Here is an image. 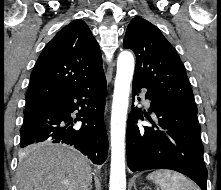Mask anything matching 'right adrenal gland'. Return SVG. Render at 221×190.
I'll return each mask as SVG.
<instances>
[{"instance_id":"2a0ac1e0","label":"right adrenal gland","mask_w":221,"mask_h":190,"mask_svg":"<svg viewBox=\"0 0 221 190\" xmlns=\"http://www.w3.org/2000/svg\"><path fill=\"white\" fill-rule=\"evenodd\" d=\"M87 190H92V185H90V187Z\"/></svg>"}]
</instances>
